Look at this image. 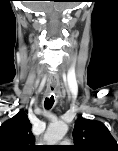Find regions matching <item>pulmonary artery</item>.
Segmentation results:
<instances>
[{
  "label": "pulmonary artery",
  "mask_w": 118,
  "mask_h": 151,
  "mask_svg": "<svg viewBox=\"0 0 118 151\" xmlns=\"http://www.w3.org/2000/svg\"><path fill=\"white\" fill-rule=\"evenodd\" d=\"M70 141L69 140H66V141H63L62 144H69Z\"/></svg>",
  "instance_id": "e3ab8cb5"
}]
</instances>
